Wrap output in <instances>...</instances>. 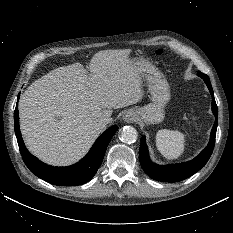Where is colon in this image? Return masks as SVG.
<instances>
[{"label":"colon","instance_id":"5ec220e1","mask_svg":"<svg viewBox=\"0 0 233 233\" xmlns=\"http://www.w3.org/2000/svg\"><path fill=\"white\" fill-rule=\"evenodd\" d=\"M156 54H157L158 56H160V55L162 54V50H161V49H158V50L156 51ZM192 122H193L194 125L197 124V122H196L195 119H193Z\"/></svg>","mask_w":233,"mask_h":233}]
</instances>
